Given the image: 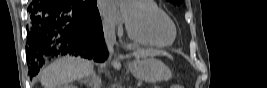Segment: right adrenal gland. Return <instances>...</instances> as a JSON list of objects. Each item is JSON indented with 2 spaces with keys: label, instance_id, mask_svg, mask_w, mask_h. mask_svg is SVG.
Here are the masks:
<instances>
[{
  "label": "right adrenal gland",
  "instance_id": "2a0ac1e0",
  "mask_svg": "<svg viewBox=\"0 0 267 88\" xmlns=\"http://www.w3.org/2000/svg\"><path fill=\"white\" fill-rule=\"evenodd\" d=\"M85 83H88L90 88H101V79L94 72L90 77L84 80Z\"/></svg>",
  "mask_w": 267,
  "mask_h": 88
}]
</instances>
